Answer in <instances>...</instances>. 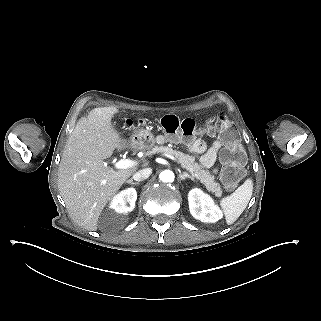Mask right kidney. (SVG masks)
<instances>
[{
	"label": "right kidney",
	"instance_id": "1",
	"mask_svg": "<svg viewBox=\"0 0 321 321\" xmlns=\"http://www.w3.org/2000/svg\"><path fill=\"white\" fill-rule=\"evenodd\" d=\"M136 199V190L134 188H128L113 197L109 208L114 209L117 213L126 214L134 209Z\"/></svg>",
	"mask_w": 321,
	"mask_h": 321
}]
</instances>
